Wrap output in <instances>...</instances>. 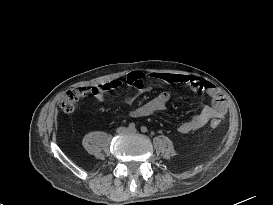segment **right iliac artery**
<instances>
[{
    "label": "right iliac artery",
    "mask_w": 273,
    "mask_h": 205,
    "mask_svg": "<svg viewBox=\"0 0 273 205\" xmlns=\"http://www.w3.org/2000/svg\"><path fill=\"white\" fill-rule=\"evenodd\" d=\"M128 128H129V129H135V124H134V123H130V124L128 125Z\"/></svg>",
    "instance_id": "82829eb1"
}]
</instances>
